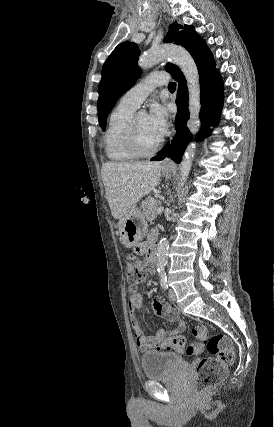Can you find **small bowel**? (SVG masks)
Returning <instances> with one entry per match:
<instances>
[{
  "instance_id": "small-bowel-1",
  "label": "small bowel",
  "mask_w": 274,
  "mask_h": 427,
  "mask_svg": "<svg viewBox=\"0 0 274 427\" xmlns=\"http://www.w3.org/2000/svg\"><path fill=\"white\" fill-rule=\"evenodd\" d=\"M149 245V241L146 240L140 243L137 247V250L140 254H144ZM144 266L148 273H153L156 270V267L153 266L148 259L144 261ZM144 300L142 295L139 292H133L130 294L127 307L130 313V324L135 334L136 345L138 349L145 353L151 350H154L158 347L160 341L177 336L182 333L185 328V322L182 320L179 315L176 313L175 317L170 319L177 323V327L173 330H159L154 336L148 337L145 335L143 329L140 326L139 320L136 317V313L141 311L143 308ZM151 307L155 309L156 313H168L169 312V300L168 299H152ZM157 316L156 314L154 315Z\"/></svg>"
}]
</instances>
